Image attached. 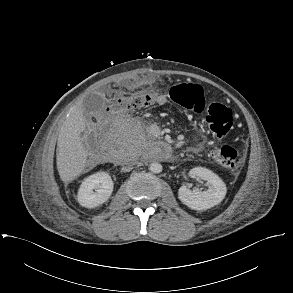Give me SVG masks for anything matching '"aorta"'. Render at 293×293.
<instances>
[{"label": "aorta", "mask_w": 293, "mask_h": 293, "mask_svg": "<svg viewBox=\"0 0 293 293\" xmlns=\"http://www.w3.org/2000/svg\"><path fill=\"white\" fill-rule=\"evenodd\" d=\"M150 171H152L153 173H160L162 172V165L159 162H152L149 166Z\"/></svg>", "instance_id": "obj_1"}]
</instances>
